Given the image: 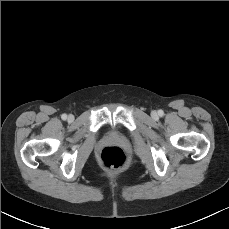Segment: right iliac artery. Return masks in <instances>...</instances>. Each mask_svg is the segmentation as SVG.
<instances>
[{
    "mask_svg": "<svg viewBox=\"0 0 229 229\" xmlns=\"http://www.w3.org/2000/svg\"><path fill=\"white\" fill-rule=\"evenodd\" d=\"M61 118H62L63 120H66V119H67V115H66V114H62Z\"/></svg>",
    "mask_w": 229,
    "mask_h": 229,
    "instance_id": "82829eb1",
    "label": "right iliac artery"
}]
</instances>
